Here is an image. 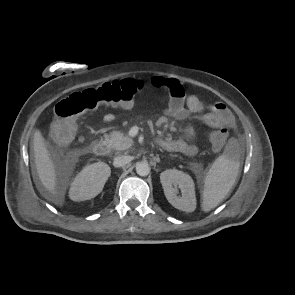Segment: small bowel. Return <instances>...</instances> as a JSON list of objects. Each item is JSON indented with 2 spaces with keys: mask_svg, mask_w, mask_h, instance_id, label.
<instances>
[{
  "mask_svg": "<svg viewBox=\"0 0 295 295\" xmlns=\"http://www.w3.org/2000/svg\"><path fill=\"white\" fill-rule=\"evenodd\" d=\"M150 84L155 88H167L169 91L170 101L164 111V119L184 120L193 113H202L203 122L210 127H233L235 125L234 116L225 104L216 102L206 105L198 96L186 95L184 87L176 79L154 76L150 79ZM132 107L133 103L121 108L130 110ZM115 119L116 114L114 113H108L104 116L105 122H112ZM193 140L194 130L192 127H187L182 138H162L158 139L157 142L167 151L180 152L191 156L196 154L198 150Z\"/></svg>",
  "mask_w": 295,
  "mask_h": 295,
  "instance_id": "c3829d8e",
  "label": "small bowel"
}]
</instances>
